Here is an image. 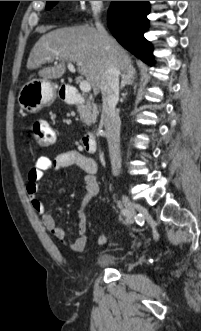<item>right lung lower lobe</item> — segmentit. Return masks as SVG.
Segmentation results:
<instances>
[{"mask_svg": "<svg viewBox=\"0 0 201 331\" xmlns=\"http://www.w3.org/2000/svg\"><path fill=\"white\" fill-rule=\"evenodd\" d=\"M149 12V1H113L108 10V27L127 50L153 65L152 46L143 36Z\"/></svg>", "mask_w": 201, "mask_h": 331, "instance_id": "obj_1", "label": "right lung lower lobe"}]
</instances>
